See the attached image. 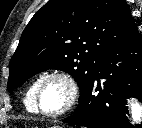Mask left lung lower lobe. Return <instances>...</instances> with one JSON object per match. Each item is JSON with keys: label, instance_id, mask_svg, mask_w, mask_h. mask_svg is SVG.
Instances as JSON below:
<instances>
[{"label": "left lung lower lobe", "instance_id": "1", "mask_svg": "<svg viewBox=\"0 0 142 128\" xmlns=\"http://www.w3.org/2000/svg\"><path fill=\"white\" fill-rule=\"evenodd\" d=\"M129 97L142 102V37L138 30L105 53L74 114L63 122L87 128H134L125 106ZM136 127L142 128V123Z\"/></svg>", "mask_w": 142, "mask_h": 128}]
</instances>
